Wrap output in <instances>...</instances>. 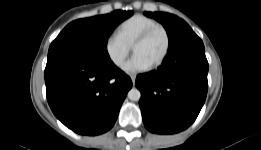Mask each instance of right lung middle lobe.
<instances>
[{
  "instance_id": "1",
  "label": "right lung middle lobe",
  "mask_w": 261,
  "mask_h": 150,
  "mask_svg": "<svg viewBox=\"0 0 261 150\" xmlns=\"http://www.w3.org/2000/svg\"><path fill=\"white\" fill-rule=\"evenodd\" d=\"M133 14L117 10L110 14L79 19L68 24L51 43L48 60L59 57L108 60L107 41L116 26Z\"/></svg>"
}]
</instances>
